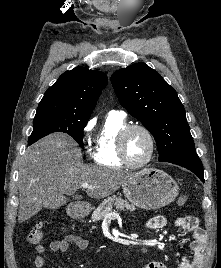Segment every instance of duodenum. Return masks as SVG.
I'll use <instances>...</instances> for the list:
<instances>
[{
	"label": "duodenum",
	"mask_w": 221,
	"mask_h": 268,
	"mask_svg": "<svg viewBox=\"0 0 221 268\" xmlns=\"http://www.w3.org/2000/svg\"><path fill=\"white\" fill-rule=\"evenodd\" d=\"M72 213L77 218L82 217V215H83L82 212L78 209L73 210Z\"/></svg>",
	"instance_id": "obj_1"
}]
</instances>
